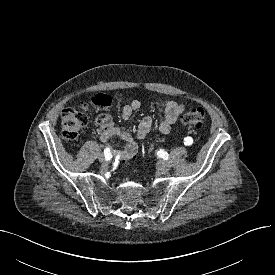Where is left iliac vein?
<instances>
[{"label":"left iliac vein","mask_w":275,"mask_h":275,"mask_svg":"<svg viewBox=\"0 0 275 275\" xmlns=\"http://www.w3.org/2000/svg\"><path fill=\"white\" fill-rule=\"evenodd\" d=\"M172 165L169 161H159L157 163V169L163 173V174H166L169 172V170L171 169Z\"/></svg>","instance_id":"left-iliac-vein-1"}]
</instances>
